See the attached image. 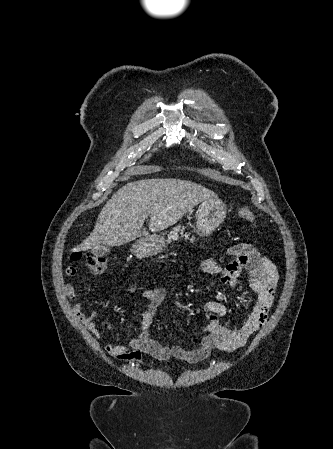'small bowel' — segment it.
Masks as SVG:
<instances>
[{"label":"small bowel","instance_id":"obj_1","mask_svg":"<svg viewBox=\"0 0 333 449\" xmlns=\"http://www.w3.org/2000/svg\"><path fill=\"white\" fill-rule=\"evenodd\" d=\"M229 253L233 257L230 262L221 265L215 258L207 257L202 261V268L205 272L220 274L222 283L229 288H236L240 284L239 274L243 268L248 270L250 288L257 295V299L250 315L238 328L230 329L224 326L220 319L225 314V306L219 301H208L204 305L208 324L203 328V336L197 344L190 347L161 344L152 338L150 329L158 307L168 295V290L147 289L142 294L145 306L137 336L125 344H107L105 351L116 360L129 364L139 363L144 355L160 362L178 359L194 363L207 357L214 349L233 351L243 346L267 321L279 276L274 264L250 244H236L230 248ZM65 273L68 277H74L77 269L68 266ZM63 291L72 303L73 314L99 339L95 324L96 314L83 315V304L78 301L72 284H66ZM105 326L108 330L113 329L109 322H105Z\"/></svg>","mask_w":333,"mask_h":449}]
</instances>
